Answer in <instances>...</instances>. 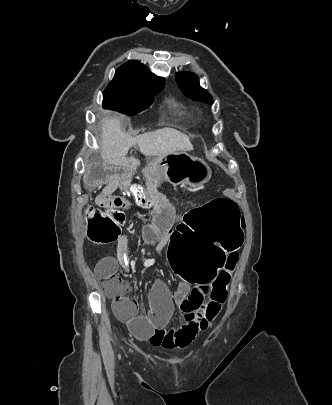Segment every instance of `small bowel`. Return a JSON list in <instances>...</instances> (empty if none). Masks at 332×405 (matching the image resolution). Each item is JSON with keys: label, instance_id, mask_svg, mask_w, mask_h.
Masks as SVG:
<instances>
[{"label": "small bowel", "instance_id": "obj_1", "mask_svg": "<svg viewBox=\"0 0 332 405\" xmlns=\"http://www.w3.org/2000/svg\"><path fill=\"white\" fill-rule=\"evenodd\" d=\"M160 164L159 159H150L145 165L148 183L162 182ZM129 175V168H113L112 162H91L87 172H82L81 182L83 186H106L103 193L95 199L96 206H100L101 209L136 211L139 206L132 197H125L122 192H114L117 189L126 190ZM112 177L116 179L113 180ZM151 188L147 195L152 198L155 210L149 212L150 219L143 229V240L149 246H163L166 240H170V234H173L171 226L175 220L176 209L169 205V195H164L155 184ZM128 244V236L122 235L117 242V256L104 257L95 265L94 272L102 286L106 275L114 273L119 265H124V254ZM149 262L143 259L134 261L135 265H148ZM210 290V285L189 287L187 281H183L178 290L171 294L163 281L156 280L149 292L148 311H142V315L131 318L118 317L127 322L129 330L138 340L167 349L184 348L201 330L199 321L205 297ZM175 307L183 313V321L178 326L167 329Z\"/></svg>", "mask_w": 332, "mask_h": 405}]
</instances>
